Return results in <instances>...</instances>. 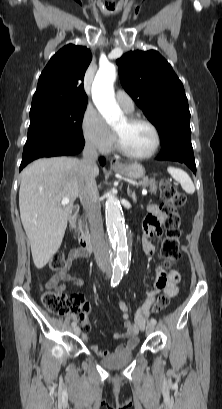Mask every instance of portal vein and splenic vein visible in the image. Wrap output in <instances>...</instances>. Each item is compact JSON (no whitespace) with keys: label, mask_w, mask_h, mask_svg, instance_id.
Returning a JSON list of instances; mask_svg holds the SVG:
<instances>
[{"label":"portal vein and splenic vein","mask_w":222,"mask_h":409,"mask_svg":"<svg viewBox=\"0 0 222 409\" xmlns=\"http://www.w3.org/2000/svg\"><path fill=\"white\" fill-rule=\"evenodd\" d=\"M142 194H143V195H146V194H147V191H146V190H143V191H142ZM61 203H62V205L68 204V203H69V198H67V197L63 198L62 201H61Z\"/></svg>","instance_id":"portal-vein-and-splenic-vein-1"}]
</instances>
